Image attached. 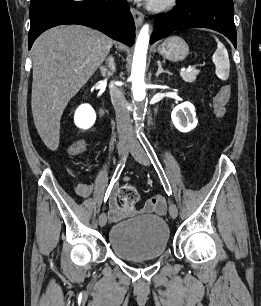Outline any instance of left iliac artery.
I'll return each instance as SVG.
<instances>
[{"label":"left iliac artery","instance_id":"1","mask_svg":"<svg viewBox=\"0 0 261 306\" xmlns=\"http://www.w3.org/2000/svg\"><path fill=\"white\" fill-rule=\"evenodd\" d=\"M138 138L140 139L142 145L144 146L154 168L156 169L157 173L159 174V177L162 181V184L164 186V189L166 191V193L170 196L172 195V190H171V187H170V184L167 180V177L163 171V168L152 148V146L150 145L149 141L147 140V138L143 135H138Z\"/></svg>","mask_w":261,"mask_h":306}]
</instances>
